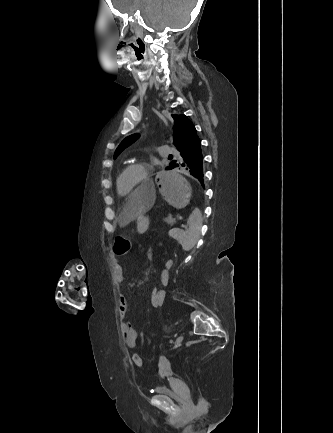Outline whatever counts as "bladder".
Segmentation results:
<instances>
[{"label": "bladder", "instance_id": "31cf9c89", "mask_svg": "<svg viewBox=\"0 0 333 433\" xmlns=\"http://www.w3.org/2000/svg\"><path fill=\"white\" fill-rule=\"evenodd\" d=\"M153 392L162 397H167L175 402H182L185 400V397L181 394L174 392L167 385H157L153 388Z\"/></svg>", "mask_w": 333, "mask_h": 433}]
</instances>
